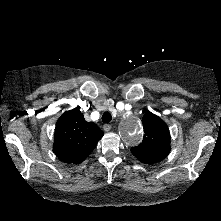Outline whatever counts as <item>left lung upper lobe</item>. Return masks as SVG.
<instances>
[{"mask_svg": "<svg viewBox=\"0 0 221 221\" xmlns=\"http://www.w3.org/2000/svg\"><path fill=\"white\" fill-rule=\"evenodd\" d=\"M144 137L131 152L143 163H155L170 152V133L167 125L157 115L147 111L142 118Z\"/></svg>", "mask_w": 221, "mask_h": 221, "instance_id": "5c2ea615", "label": "left lung upper lobe"}]
</instances>
